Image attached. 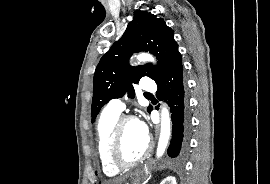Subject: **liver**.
<instances>
[{
	"label": "liver",
	"instance_id": "6515ba94",
	"mask_svg": "<svg viewBox=\"0 0 270 184\" xmlns=\"http://www.w3.org/2000/svg\"><path fill=\"white\" fill-rule=\"evenodd\" d=\"M122 181H113V182H108L107 184H121Z\"/></svg>",
	"mask_w": 270,
	"mask_h": 184
}]
</instances>
